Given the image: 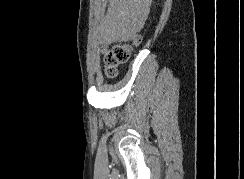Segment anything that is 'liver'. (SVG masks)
<instances>
[{"label":"liver","mask_w":244,"mask_h":179,"mask_svg":"<svg viewBox=\"0 0 244 179\" xmlns=\"http://www.w3.org/2000/svg\"><path fill=\"white\" fill-rule=\"evenodd\" d=\"M152 0H109L107 14L100 22L97 38L104 44L130 42L150 14Z\"/></svg>","instance_id":"liver-1"}]
</instances>
